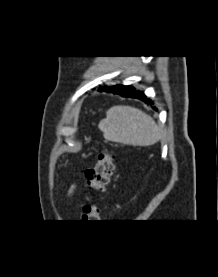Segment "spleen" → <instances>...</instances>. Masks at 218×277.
I'll return each instance as SVG.
<instances>
[{"instance_id":"obj_1","label":"spleen","mask_w":218,"mask_h":277,"mask_svg":"<svg viewBox=\"0 0 218 277\" xmlns=\"http://www.w3.org/2000/svg\"><path fill=\"white\" fill-rule=\"evenodd\" d=\"M98 127L106 140L130 146L153 145L161 138L160 129L152 117L131 106L111 107Z\"/></svg>"}]
</instances>
